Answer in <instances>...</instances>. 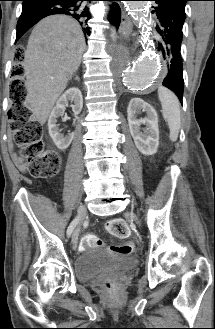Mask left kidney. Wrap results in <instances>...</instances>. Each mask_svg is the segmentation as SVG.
<instances>
[{
	"label": "left kidney",
	"instance_id": "obj_1",
	"mask_svg": "<svg viewBox=\"0 0 215 329\" xmlns=\"http://www.w3.org/2000/svg\"><path fill=\"white\" fill-rule=\"evenodd\" d=\"M141 110L147 116L137 119ZM127 120L137 149L144 155L155 154L159 146L158 116L155 109L141 98H132L127 108ZM141 124L146 125L144 132L141 131Z\"/></svg>",
	"mask_w": 215,
	"mask_h": 329
}]
</instances>
